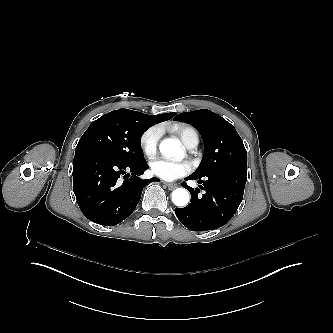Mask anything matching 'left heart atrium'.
Wrapping results in <instances>:
<instances>
[{
    "label": "left heart atrium",
    "mask_w": 333,
    "mask_h": 333,
    "mask_svg": "<svg viewBox=\"0 0 333 333\" xmlns=\"http://www.w3.org/2000/svg\"><path fill=\"white\" fill-rule=\"evenodd\" d=\"M192 166L189 162H171L158 160L153 164L152 172L165 179L176 180L190 174Z\"/></svg>",
    "instance_id": "left-heart-atrium-1"
}]
</instances>
